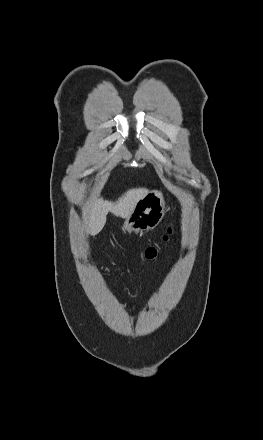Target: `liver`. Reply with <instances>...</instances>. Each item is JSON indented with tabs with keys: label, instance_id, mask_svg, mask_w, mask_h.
<instances>
[{
	"label": "liver",
	"instance_id": "1",
	"mask_svg": "<svg viewBox=\"0 0 263 440\" xmlns=\"http://www.w3.org/2000/svg\"><path fill=\"white\" fill-rule=\"evenodd\" d=\"M145 188L129 189L117 201L111 202L103 198H94V201L84 212L83 218L88 233L98 234L106 223V217L112 212L117 217L126 218L132 211L135 202L145 193Z\"/></svg>",
	"mask_w": 263,
	"mask_h": 440
}]
</instances>
